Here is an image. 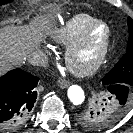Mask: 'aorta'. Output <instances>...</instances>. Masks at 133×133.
I'll return each mask as SVG.
<instances>
[{
    "label": "aorta",
    "instance_id": "obj_1",
    "mask_svg": "<svg viewBox=\"0 0 133 133\" xmlns=\"http://www.w3.org/2000/svg\"><path fill=\"white\" fill-rule=\"evenodd\" d=\"M67 95L69 100L74 104V105H80L84 102L85 100V94L83 89L78 86V85H71L68 88Z\"/></svg>",
    "mask_w": 133,
    "mask_h": 133
}]
</instances>
